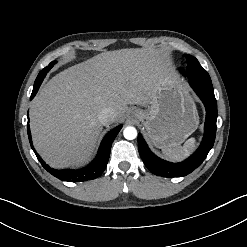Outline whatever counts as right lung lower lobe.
<instances>
[{"label":"right lung lower lobe","mask_w":247,"mask_h":247,"mask_svg":"<svg viewBox=\"0 0 247 247\" xmlns=\"http://www.w3.org/2000/svg\"><path fill=\"white\" fill-rule=\"evenodd\" d=\"M50 69L45 70V71H43V70L40 71V73L38 74V76L35 80L33 91H32L30 99H33V97L36 95L43 79L45 78L46 74L49 72ZM28 120H29V117H28ZM121 128H122V126L119 125L116 128H114L113 130H111L105 136V138L102 141L99 153H98L96 159L94 160V162L92 164H90L89 166H87L83 169H80V170H70V169L55 170V169L49 167L47 164H45V162L36 153V151L32 145L29 124L27 125V132H28V137H29L31 148L33 149L34 153L36 154L38 160L40 161L42 166L45 168V170H47L53 176L57 177L58 179H60L62 181L82 182V181L95 179L103 173V171L105 170V168L107 166L108 160H109L112 142L114 141L115 137L117 136V134L119 133Z\"/></svg>","instance_id":"98d812e1"}]
</instances>
